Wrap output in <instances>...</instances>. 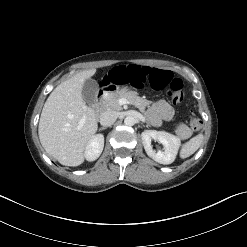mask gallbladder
<instances>
[{"instance_id": "gallbladder-1", "label": "gallbladder", "mask_w": 247, "mask_h": 247, "mask_svg": "<svg viewBox=\"0 0 247 247\" xmlns=\"http://www.w3.org/2000/svg\"><path fill=\"white\" fill-rule=\"evenodd\" d=\"M99 86L93 79H87L82 88V95L88 106L93 107L95 96L98 92Z\"/></svg>"}]
</instances>
